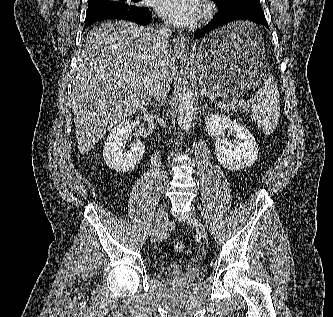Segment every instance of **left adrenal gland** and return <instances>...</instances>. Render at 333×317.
<instances>
[{
	"mask_svg": "<svg viewBox=\"0 0 333 317\" xmlns=\"http://www.w3.org/2000/svg\"><path fill=\"white\" fill-rule=\"evenodd\" d=\"M204 108H208L206 100H204V105L202 106V109H204Z\"/></svg>",
	"mask_w": 333,
	"mask_h": 317,
	"instance_id": "1",
	"label": "left adrenal gland"
}]
</instances>
